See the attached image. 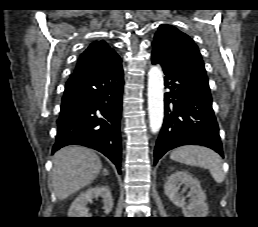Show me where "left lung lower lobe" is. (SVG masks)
I'll list each match as a JSON object with an SVG mask.
<instances>
[{"mask_svg": "<svg viewBox=\"0 0 258 227\" xmlns=\"http://www.w3.org/2000/svg\"><path fill=\"white\" fill-rule=\"evenodd\" d=\"M152 63L162 66L165 86L170 89L165 93V117L154 151V163L167 151L188 144L209 147L223 156L207 77L158 52L152 53Z\"/></svg>", "mask_w": 258, "mask_h": 227, "instance_id": "obj_1", "label": "left lung lower lobe"}]
</instances>
